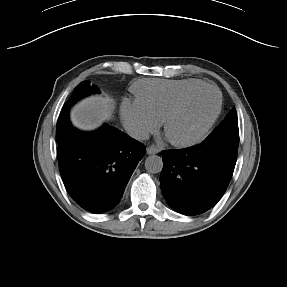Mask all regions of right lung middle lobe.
Segmentation results:
<instances>
[{"label":"right lung middle lobe","mask_w":287,"mask_h":287,"mask_svg":"<svg viewBox=\"0 0 287 287\" xmlns=\"http://www.w3.org/2000/svg\"><path fill=\"white\" fill-rule=\"evenodd\" d=\"M99 92L100 91L97 89L96 86L90 85V81H83L75 88L69 100L64 104L63 109L59 115L56 129V141L58 145H61L65 142L67 132L72 127L68 119L69 108L79 99L90 94Z\"/></svg>","instance_id":"1"}]
</instances>
